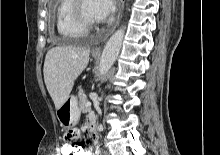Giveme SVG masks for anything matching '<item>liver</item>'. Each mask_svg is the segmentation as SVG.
Here are the masks:
<instances>
[{"label":"liver","instance_id":"liver-1","mask_svg":"<svg viewBox=\"0 0 220 155\" xmlns=\"http://www.w3.org/2000/svg\"><path fill=\"white\" fill-rule=\"evenodd\" d=\"M89 55V50L72 46H56L47 52L44 81L56 110L69 97L74 81L89 62Z\"/></svg>","mask_w":220,"mask_h":155}]
</instances>
